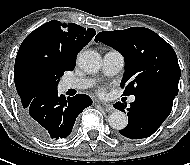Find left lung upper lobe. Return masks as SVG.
I'll return each mask as SVG.
<instances>
[{"label": "left lung upper lobe", "instance_id": "1", "mask_svg": "<svg viewBox=\"0 0 190 165\" xmlns=\"http://www.w3.org/2000/svg\"><path fill=\"white\" fill-rule=\"evenodd\" d=\"M95 41L119 51L125 60L121 87L125 95L148 92L178 94L180 67L173 48L158 34L144 27L103 31Z\"/></svg>", "mask_w": 190, "mask_h": 165}]
</instances>
